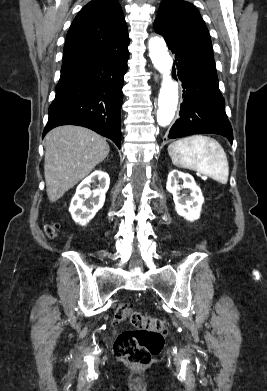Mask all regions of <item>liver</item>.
Listing matches in <instances>:
<instances>
[{
  "label": "liver",
  "instance_id": "6515ba94",
  "mask_svg": "<svg viewBox=\"0 0 267 391\" xmlns=\"http://www.w3.org/2000/svg\"><path fill=\"white\" fill-rule=\"evenodd\" d=\"M105 138L79 126H61L45 137L44 175L51 202L60 199L109 154Z\"/></svg>",
  "mask_w": 267,
  "mask_h": 391
}]
</instances>
